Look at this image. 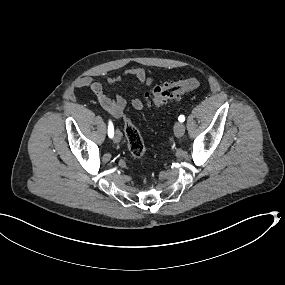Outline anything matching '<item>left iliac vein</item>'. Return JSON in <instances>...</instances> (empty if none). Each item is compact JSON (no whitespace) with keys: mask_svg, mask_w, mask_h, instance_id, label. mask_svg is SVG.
Wrapping results in <instances>:
<instances>
[{"mask_svg":"<svg viewBox=\"0 0 285 285\" xmlns=\"http://www.w3.org/2000/svg\"><path fill=\"white\" fill-rule=\"evenodd\" d=\"M174 133L177 137L183 136V134L185 133V125L182 122L175 123Z\"/></svg>","mask_w":285,"mask_h":285,"instance_id":"obj_1","label":"left iliac vein"}]
</instances>
